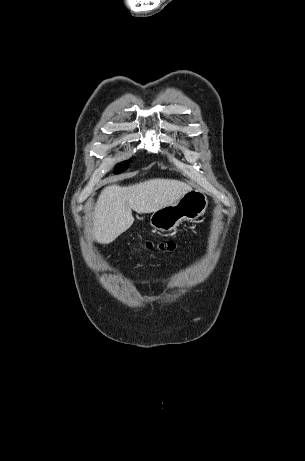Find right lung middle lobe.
Returning a JSON list of instances; mask_svg holds the SVG:
<instances>
[{
  "label": "right lung middle lobe",
  "instance_id": "right-lung-middle-lobe-1",
  "mask_svg": "<svg viewBox=\"0 0 305 461\" xmlns=\"http://www.w3.org/2000/svg\"><path fill=\"white\" fill-rule=\"evenodd\" d=\"M128 166H129L128 161L122 162V163L118 164V165L116 166V168H115V173H119V172H121L122 170L127 169Z\"/></svg>",
  "mask_w": 305,
  "mask_h": 461
}]
</instances>
